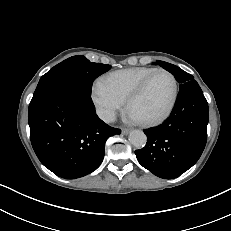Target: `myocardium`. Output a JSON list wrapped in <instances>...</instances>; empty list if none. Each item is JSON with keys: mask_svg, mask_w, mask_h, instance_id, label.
<instances>
[{"mask_svg": "<svg viewBox=\"0 0 231 231\" xmlns=\"http://www.w3.org/2000/svg\"><path fill=\"white\" fill-rule=\"evenodd\" d=\"M157 73H165L168 76H170V78L172 79L173 82V96L171 99V102L168 106V108L166 109V111L161 114L160 116L154 118V119H150V120H142L139 121V123L145 127H152V126H157L161 123H163L166 119L169 118V116L172 114L177 100H178V94H179V86H178V81L177 78L175 77V75L173 73H171L170 71L163 69V68H158L155 69L153 72H151L135 89L134 91L127 97L126 101H125V108L126 111H129L130 106L132 105V103L134 101H136L145 91L147 85L149 84V82L151 81V79L157 74Z\"/></svg>", "mask_w": 231, "mask_h": 231, "instance_id": "f54148a6", "label": "myocardium"}]
</instances>
